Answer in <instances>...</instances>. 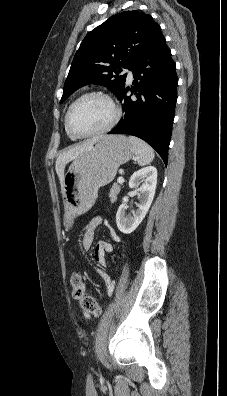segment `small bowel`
<instances>
[{"instance_id": "1", "label": "small bowel", "mask_w": 227, "mask_h": 396, "mask_svg": "<svg viewBox=\"0 0 227 396\" xmlns=\"http://www.w3.org/2000/svg\"><path fill=\"white\" fill-rule=\"evenodd\" d=\"M101 224H104L109 229L111 239L114 242L120 241V236L115 231V229L103 217L97 216L89 221L84 229L82 236V246L85 250H89L92 247L94 242V231ZM110 251H112V245L110 243L105 241L98 242L94 248V261L100 266H105V254ZM95 273L97 277L104 283L107 293L111 294L114 290V283L110 276L101 269H97ZM85 316L89 317L88 314H85Z\"/></svg>"}]
</instances>
